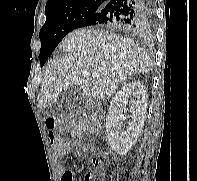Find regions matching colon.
<instances>
[{"label":"colon","instance_id":"5ec220e1","mask_svg":"<svg viewBox=\"0 0 197 181\" xmlns=\"http://www.w3.org/2000/svg\"><path fill=\"white\" fill-rule=\"evenodd\" d=\"M91 126V121L86 120L82 115H73L68 118H49L46 121L48 137L54 149H60L63 143L62 133L69 127L70 133L74 136L83 135ZM96 167L104 166L106 157L99 155L92 160ZM83 181H93L92 172H87L83 176Z\"/></svg>","mask_w":197,"mask_h":181}]
</instances>
